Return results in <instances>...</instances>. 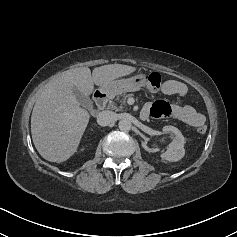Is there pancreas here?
I'll list each match as a JSON object with an SVG mask.
<instances>
[{"mask_svg":"<svg viewBox=\"0 0 237 237\" xmlns=\"http://www.w3.org/2000/svg\"><path fill=\"white\" fill-rule=\"evenodd\" d=\"M129 97H132V94H127L123 96V99L121 100L119 98H116L117 102L120 104L119 106L117 103L110 101L108 104V108L115 111H122L123 108L126 106V99Z\"/></svg>","mask_w":237,"mask_h":237,"instance_id":"cf45deb5","label":"pancreas"}]
</instances>
